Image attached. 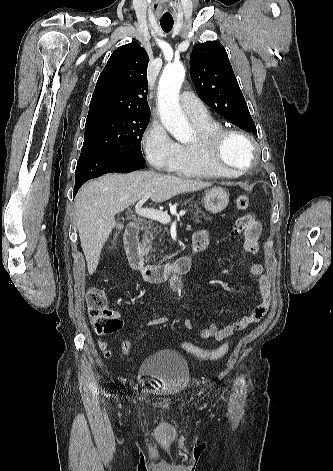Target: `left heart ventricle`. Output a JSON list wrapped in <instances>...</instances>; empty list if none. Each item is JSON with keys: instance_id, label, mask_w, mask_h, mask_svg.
Here are the masks:
<instances>
[{"instance_id": "obj_1", "label": "left heart ventricle", "mask_w": 333, "mask_h": 471, "mask_svg": "<svg viewBox=\"0 0 333 471\" xmlns=\"http://www.w3.org/2000/svg\"><path fill=\"white\" fill-rule=\"evenodd\" d=\"M222 157L228 164L242 166L248 161L249 148L243 140L230 138L224 146Z\"/></svg>"}]
</instances>
